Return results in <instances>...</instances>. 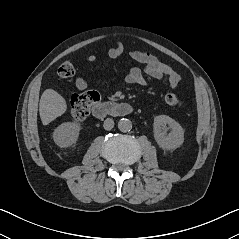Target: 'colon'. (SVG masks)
<instances>
[{"label": "colon", "instance_id": "colon-1", "mask_svg": "<svg viewBox=\"0 0 239 239\" xmlns=\"http://www.w3.org/2000/svg\"><path fill=\"white\" fill-rule=\"evenodd\" d=\"M75 74V67L72 62L65 61L58 68V75L61 78H69ZM100 100V96L95 91H88L75 94L71 100V114L74 120L83 121L89 114L92 105ZM165 102L168 106L179 108L182 103L177 95L169 93L165 96Z\"/></svg>", "mask_w": 239, "mask_h": 239}]
</instances>
